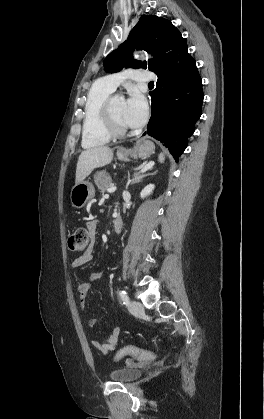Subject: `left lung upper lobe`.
<instances>
[{"label": "left lung upper lobe", "mask_w": 264, "mask_h": 419, "mask_svg": "<svg viewBox=\"0 0 264 419\" xmlns=\"http://www.w3.org/2000/svg\"><path fill=\"white\" fill-rule=\"evenodd\" d=\"M180 35L179 30L170 21L152 15L142 16L130 32L128 39L104 59V68L107 72L115 73L124 67H148L155 73L160 68L162 53ZM135 49L152 53L155 59L148 60V64L135 60L132 58Z\"/></svg>", "instance_id": "5c2ea615"}]
</instances>
